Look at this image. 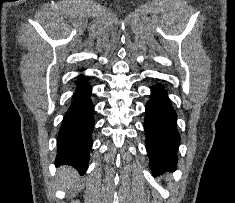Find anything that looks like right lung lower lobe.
Wrapping results in <instances>:
<instances>
[{
	"mask_svg": "<svg viewBox=\"0 0 235 203\" xmlns=\"http://www.w3.org/2000/svg\"><path fill=\"white\" fill-rule=\"evenodd\" d=\"M83 78V76H82ZM91 87L78 77L76 93L58 133L56 165H70L83 175L88 167L94 127Z\"/></svg>",
	"mask_w": 235,
	"mask_h": 203,
	"instance_id": "1",
	"label": "right lung lower lobe"
}]
</instances>
